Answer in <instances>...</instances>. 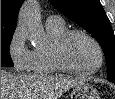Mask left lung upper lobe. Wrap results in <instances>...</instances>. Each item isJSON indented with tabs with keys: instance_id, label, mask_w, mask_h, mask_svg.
<instances>
[{
	"instance_id": "5c2ea615",
	"label": "left lung upper lobe",
	"mask_w": 115,
	"mask_h": 99,
	"mask_svg": "<svg viewBox=\"0 0 115 99\" xmlns=\"http://www.w3.org/2000/svg\"><path fill=\"white\" fill-rule=\"evenodd\" d=\"M63 15L91 33L105 54L108 80L115 83V36L99 0H49Z\"/></svg>"
}]
</instances>
